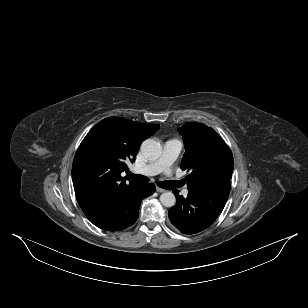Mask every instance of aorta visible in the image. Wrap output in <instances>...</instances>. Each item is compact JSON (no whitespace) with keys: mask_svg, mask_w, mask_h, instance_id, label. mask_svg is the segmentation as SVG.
I'll list each match as a JSON object with an SVG mask.
<instances>
[{"mask_svg":"<svg viewBox=\"0 0 308 308\" xmlns=\"http://www.w3.org/2000/svg\"><path fill=\"white\" fill-rule=\"evenodd\" d=\"M143 155L149 160H156L162 154L161 144L154 139H146L141 145ZM160 202L165 207H173L176 197L172 192H164L160 195Z\"/></svg>","mask_w":308,"mask_h":308,"instance_id":"aorta-1","label":"aorta"}]
</instances>
